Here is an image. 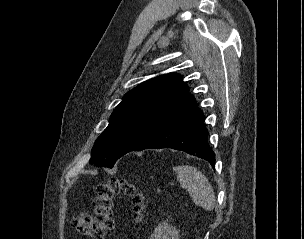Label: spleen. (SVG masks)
Masks as SVG:
<instances>
[{"label":"spleen","instance_id":"obj_1","mask_svg":"<svg viewBox=\"0 0 304 239\" xmlns=\"http://www.w3.org/2000/svg\"><path fill=\"white\" fill-rule=\"evenodd\" d=\"M180 185L188 190L193 202L207 211L215 207V194L208 179L195 167L189 165L173 168Z\"/></svg>","mask_w":304,"mask_h":239}]
</instances>
